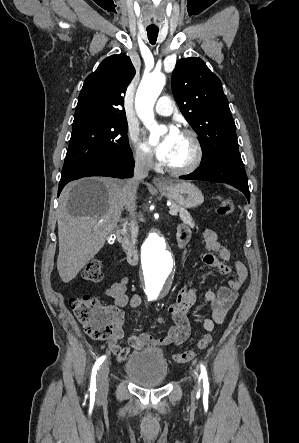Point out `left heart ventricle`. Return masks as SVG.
Listing matches in <instances>:
<instances>
[{
    "label": "left heart ventricle",
    "instance_id": "1",
    "mask_svg": "<svg viewBox=\"0 0 299 443\" xmlns=\"http://www.w3.org/2000/svg\"><path fill=\"white\" fill-rule=\"evenodd\" d=\"M192 156L193 147L191 141L185 135L179 134L164 164L172 167H181L188 164Z\"/></svg>",
    "mask_w": 299,
    "mask_h": 443
}]
</instances>
